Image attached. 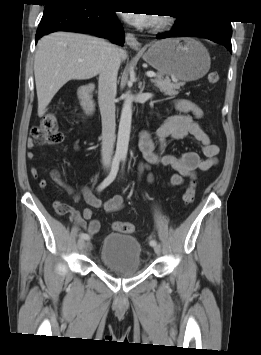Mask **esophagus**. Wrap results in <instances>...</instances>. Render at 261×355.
<instances>
[{
    "instance_id": "esophagus-1",
    "label": "esophagus",
    "mask_w": 261,
    "mask_h": 355,
    "mask_svg": "<svg viewBox=\"0 0 261 355\" xmlns=\"http://www.w3.org/2000/svg\"><path fill=\"white\" fill-rule=\"evenodd\" d=\"M125 41L128 46H130L131 48H133L135 50H139L141 48V43L131 33L126 34Z\"/></svg>"
}]
</instances>
